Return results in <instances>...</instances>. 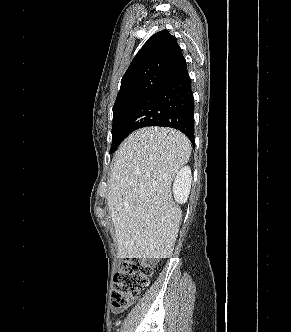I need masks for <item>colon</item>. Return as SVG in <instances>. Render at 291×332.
Segmentation results:
<instances>
[{
	"label": "colon",
	"instance_id": "colon-1",
	"mask_svg": "<svg viewBox=\"0 0 291 332\" xmlns=\"http://www.w3.org/2000/svg\"><path fill=\"white\" fill-rule=\"evenodd\" d=\"M150 264L136 258L124 259L114 277L111 304L115 312L125 310L144 290L152 275Z\"/></svg>",
	"mask_w": 291,
	"mask_h": 332
}]
</instances>
